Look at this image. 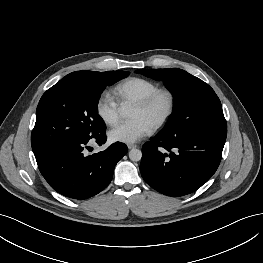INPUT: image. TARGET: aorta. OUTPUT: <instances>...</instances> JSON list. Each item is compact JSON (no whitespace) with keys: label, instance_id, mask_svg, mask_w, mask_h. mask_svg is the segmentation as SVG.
Listing matches in <instances>:
<instances>
[{"label":"aorta","instance_id":"1","mask_svg":"<svg viewBox=\"0 0 263 263\" xmlns=\"http://www.w3.org/2000/svg\"><path fill=\"white\" fill-rule=\"evenodd\" d=\"M121 114L122 116L127 117L129 113L124 110ZM129 158L131 161H140L142 158V152L139 149L133 148L129 151Z\"/></svg>","mask_w":263,"mask_h":263}]
</instances>
